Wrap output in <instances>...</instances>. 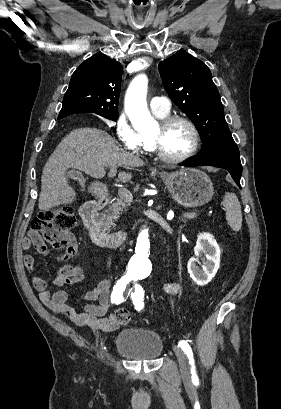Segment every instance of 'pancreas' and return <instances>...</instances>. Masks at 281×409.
<instances>
[{
  "instance_id": "pancreas-1",
  "label": "pancreas",
  "mask_w": 281,
  "mask_h": 409,
  "mask_svg": "<svg viewBox=\"0 0 281 409\" xmlns=\"http://www.w3.org/2000/svg\"><path fill=\"white\" fill-rule=\"evenodd\" d=\"M122 198H117L116 202H113L112 207H110V209H107L106 213H108L109 217H111V219H119V215H122V213H120V211H123L122 207ZM197 213H193V216L196 217ZM113 225H115V223H113Z\"/></svg>"
}]
</instances>
